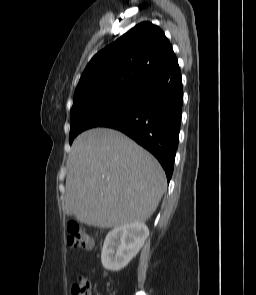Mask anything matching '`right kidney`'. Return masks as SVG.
Masks as SVG:
<instances>
[{"label":"right kidney","instance_id":"ca27d5eb","mask_svg":"<svg viewBox=\"0 0 256 295\" xmlns=\"http://www.w3.org/2000/svg\"><path fill=\"white\" fill-rule=\"evenodd\" d=\"M149 236L148 227L133 222L115 227L104 241L101 262L105 269L120 271L136 256Z\"/></svg>","mask_w":256,"mask_h":295}]
</instances>
